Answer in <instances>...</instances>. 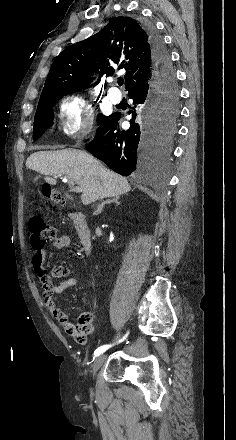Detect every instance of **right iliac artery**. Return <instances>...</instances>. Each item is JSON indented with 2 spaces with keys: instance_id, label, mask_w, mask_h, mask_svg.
<instances>
[{
  "instance_id": "right-iliac-artery-1",
  "label": "right iliac artery",
  "mask_w": 236,
  "mask_h": 440,
  "mask_svg": "<svg viewBox=\"0 0 236 440\" xmlns=\"http://www.w3.org/2000/svg\"><path fill=\"white\" fill-rule=\"evenodd\" d=\"M126 336L122 340H120L119 342L123 341L126 338ZM110 347H111V345H103V346L99 347L98 349L95 350L94 357H97L100 354L104 353Z\"/></svg>"
}]
</instances>
